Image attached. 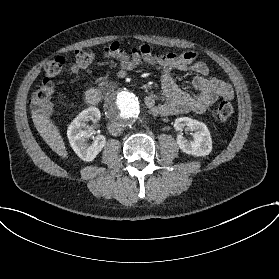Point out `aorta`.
<instances>
[{
	"mask_svg": "<svg viewBox=\"0 0 279 279\" xmlns=\"http://www.w3.org/2000/svg\"><path fill=\"white\" fill-rule=\"evenodd\" d=\"M141 104L138 97L128 90L113 91L106 99L105 111L111 122L127 126L140 114Z\"/></svg>",
	"mask_w": 279,
	"mask_h": 279,
	"instance_id": "aorta-1",
	"label": "aorta"
}]
</instances>
